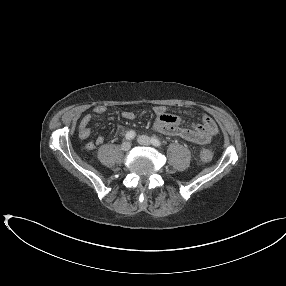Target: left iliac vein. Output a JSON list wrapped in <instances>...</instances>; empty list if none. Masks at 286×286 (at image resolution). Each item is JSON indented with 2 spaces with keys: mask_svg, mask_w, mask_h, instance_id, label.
I'll return each instance as SVG.
<instances>
[{
  "mask_svg": "<svg viewBox=\"0 0 286 286\" xmlns=\"http://www.w3.org/2000/svg\"><path fill=\"white\" fill-rule=\"evenodd\" d=\"M138 142L141 145L148 146L151 144V139L148 136L142 135L138 137Z\"/></svg>",
  "mask_w": 286,
  "mask_h": 286,
  "instance_id": "4c4485c4",
  "label": "left iliac vein"
}]
</instances>
